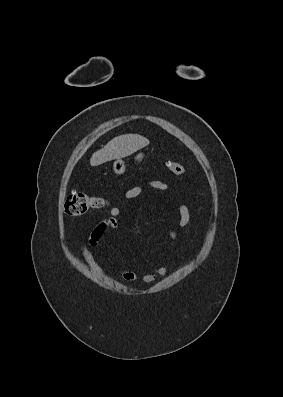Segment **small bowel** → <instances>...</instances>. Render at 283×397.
Listing matches in <instances>:
<instances>
[{"label": "small bowel", "mask_w": 283, "mask_h": 397, "mask_svg": "<svg viewBox=\"0 0 283 397\" xmlns=\"http://www.w3.org/2000/svg\"><path fill=\"white\" fill-rule=\"evenodd\" d=\"M148 185L151 188L159 189V190H169L172 191V188L161 181H150ZM145 192L143 187L135 186L129 189L125 193L126 199H133L143 195ZM109 216L101 220L91 231L88 239V244L91 247H97L100 245L103 235L107 230H116L119 226L118 218L122 215L123 210L120 207H112L109 212ZM193 222V216L185 205H180L179 207V217L177 219V225L180 228H184L186 233L189 234L191 226ZM169 237L171 245H174L177 241V233L175 230H169ZM80 251L83 259L87 263V265L95 272L99 273L100 275H104L103 270L100 268L98 263L96 262L93 254L87 248L85 244H81ZM121 277L125 281L134 282L137 280H141L144 283H153L159 277H163L167 274V268L164 266H159L154 268L151 272L145 273L141 276L136 274L133 271L128 269H122Z\"/></svg>", "instance_id": "1"}]
</instances>
